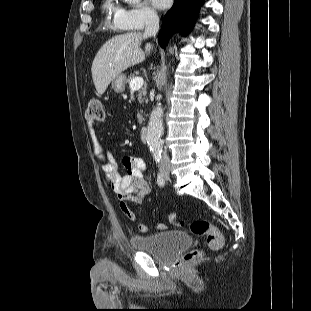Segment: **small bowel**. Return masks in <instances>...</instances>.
Instances as JSON below:
<instances>
[{"label": "small bowel", "instance_id": "obj_1", "mask_svg": "<svg viewBox=\"0 0 311 311\" xmlns=\"http://www.w3.org/2000/svg\"><path fill=\"white\" fill-rule=\"evenodd\" d=\"M87 129L93 143L95 155L100 160L102 171L105 173L106 179L119 199L122 212L129 220L136 221L137 215L127 205V202L142 203L144 197L150 193V186L144 177L146 170L144 160L136 156H124L122 163L125 168V173L123 175L120 174L119 164L115 157L112 154L106 156L103 153L102 147L98 141L94 122L88 121ZM137 227L141 233H146L148 231V227L144 223H139ZM156 227L160 230L167 228L163 223H157Z\"/></svg>", "mask_w": 311, "mask_h": 311}]
</instances>
